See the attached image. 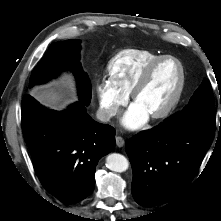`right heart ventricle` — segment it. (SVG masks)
<instances>
[{
  "label": "right heart ventricle",
  "instance_id": "right-heart-ventricle-1",
  "mask_svg": "<svg viewBox=\"0 0 221 221\" xmlns=\"http://www.w3.org/2000/svg\"><path fill=\"white\" fill-rule=\"evenodd\" d=\"M162 55L144 49H126L108 63L109 80L126 94H130L145 68Z\"/></svg>",
  "mask_w": 221,
  "mask_h": 221
}]
</instances>
